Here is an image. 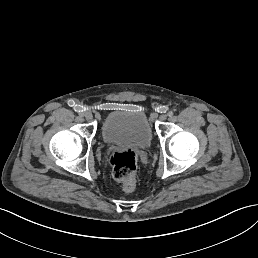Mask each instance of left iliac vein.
<instances>
[{"instance_id":"4c4485c4","label":"left iliac vein","mask_w":258,"mask_h":258,"mask_svg":"<svg viewBox=\"0 0 258 258\" xmlns=\"http://www.w3.org/2000/svg\"><path fill=\"white\" fill-rule=\"evenodd\" d=\"M159 118H160V120H161V121H163V122H164V121H166V119H167V118H166V116H165V115H163V114H162V115H160V117H159Z\"/></svg>"}]
</instances>
